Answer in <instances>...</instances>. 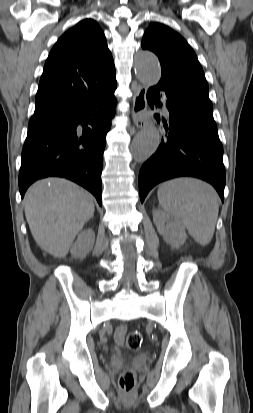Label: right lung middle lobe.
I'll list each match as a JSON object with an SVG mask.
<instances>
[{
  "mask_svg": "<svg viewBox=\"0 0 253 413\" xmlns=\"http://www.w3.org/2000/svg\"><path fill=\"white\" fill-rule=\"evenodd\" d=\"M57 116L56 115H48V116H39V117H31L29 126H28V132L37 130L39 128H42L49 123H51L54 118Z\"/></svg>",
  "mask_w": 253,
  "mask_h": 413,
  "instance_id": "1",
  "label": "right lung middle lobe"
}]
</instances>
